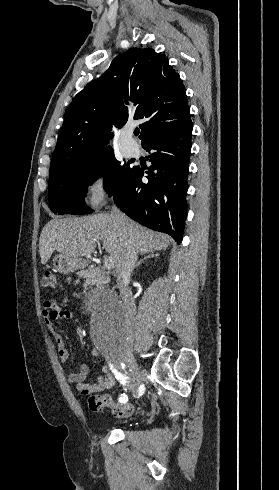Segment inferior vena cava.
Here are the masks:
<instances>
[{"instance_id":"inferior-vena-cava-1","label":"inferior vena cava","mask_w":279,"mask_h":490,"mask_svg":"<svg viewBox=\"0 0 279 490\" xmlns=\"http://www.w3.org/2000/svg\"><path fill=\"white\" fill-rule=\"evenodd\" d=\"M112 220H114L116 226H125L127 224V218L125 214H122L120 210H118L117 206H112L111 214ZM139 252H137L136 244L134 240L129 242V246L127 248L125 262L122 264V268L120 272H118L117 276V286L120 290V296L122 298L123 304V312L125 314V318L127 320V324L129 328H132L135 324L136 320V306L135 300L132 296V292L130 288H128V284L130 282L131 274L136 266L137 258Z\"/></svg>"}]
</instances>
